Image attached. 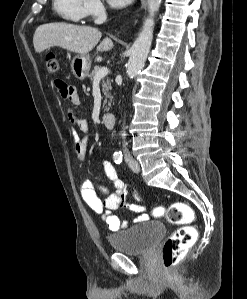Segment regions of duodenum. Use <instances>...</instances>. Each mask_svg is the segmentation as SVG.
<instances>
[{"instance_id": "obj_1", "label": "duodenum", "mask_w": 247, "mask_h": 299, "mask_svg": "<svg viewBox=\"0 0 247 299\" xmlns=\"http://www.w3.org/2000/svg\"><path fill=\"white\" fill-rule=\"evenodd\" d=\"M101 119L106 128L112 129L115 126L116 118L113 113H104Z\"/></svg>"}]
</instances>
